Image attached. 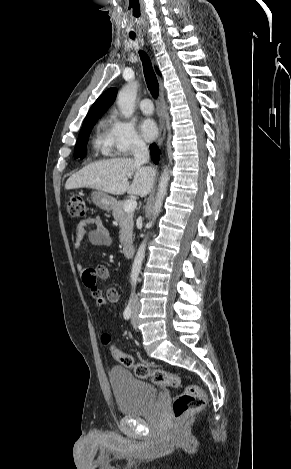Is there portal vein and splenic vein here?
<instances>
[{"mask_svg": "<svg viewBox=\"0 0 291 469\" xmlns=\"http://www.w3.org/2000/svg\"><path fill=\"white\" fill-rule=\"evenodd\" d=\"M137 206V202L134 199L127 200L124 204V211L129 212V211H134Z\"/></svg>", "mask_w": 291, "mask_h": 469, "instance_id": "1", "label": "portal vein and splenic vein"}]
</instances>
